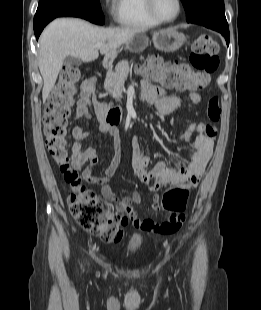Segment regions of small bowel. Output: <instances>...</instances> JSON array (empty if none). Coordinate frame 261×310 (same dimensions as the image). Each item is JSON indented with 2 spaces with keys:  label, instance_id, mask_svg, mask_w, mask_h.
I'll return each instance as SVG.
<instances>
[{
  "label": "small bowel",
  "instance_id": "1",
  "mask_svg": "<svg viewBox=\"0 0 261 310\" xmlns=\"http://www.w3.org/2000/svg\"><path fill=\"white\" fill-rule=\"evenodd\" d=\"M94 90L95 82L93 80H86L82 83L77 104L78 118H90V98ZM142 95L145 100L155 101L156 107L161 114L173 112L182 103L180 97L168 95L163 88L148 81L142 82ZM187 99L192 104H199L201 96L197 92H191ZM199 125L200 123L188 124L181 135L184 141H189L193 133L197 132L196 136L192 139L194 151L189 158L178 161L173 165L160 162L150 170L148 169L150 156L140 145L137 138L132 139L133 170L139 180L145 184L151 192H156L165 186L175 185L180 182H190L194 187L198 184L214 149V139L204 135L199 130ZM100 130L112 138L111 159L109 165L105 169L104 175L102 177H95L92 174V167L97 163L98 155L94 147H86L84 145L90 133L83 126H77L73 130L75 142L72 145V168L75 171L82 170V176L87 182L102 186V195L106 200L115 204L116 214H127L136 228L147 231L143 227V223L152 220L141 219L134 209V204H139L141 202L140 193L133 192L130 196L119 198L111 189L109 180L115 172L120 160V140L116 130L112 127L101 124ZM72 189L76 190L74 187H72ZM152 207L154 210H159L160 207L157 204V198H154Z\"/></svg>",
  "mask_w": 261,
  "mask_h": 310
}]
</instances>
